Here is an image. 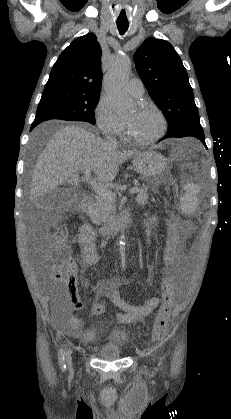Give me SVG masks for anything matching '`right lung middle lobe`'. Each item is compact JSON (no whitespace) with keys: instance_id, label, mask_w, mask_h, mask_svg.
I'll use <instances>...</instances> for the list:
<instances>
[{"instance_id":"1","label":"right lung middle lobe","mask_w":231,"mask_h":419,"mask_svg":"<svg viewBox=\"0 0 231 419\" xmlns=\"http://www.w3.org/2000/svg\"><path fill=\"white\" fill-rule=\"evenodd\" d=\"M98 101L99 93H86L65 87H45L33 123L62 119L95 124L94 108Z\"/></svg>"}]
</instances>
